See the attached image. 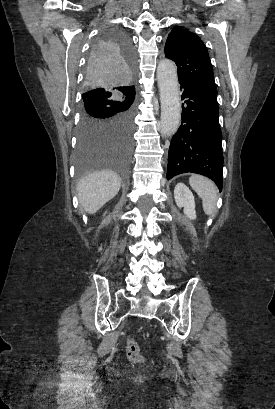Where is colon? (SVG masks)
Segmentation results:
<instances>
[{"label":"colon","instance_id":"5ec220e1","mask_svg":"<svg viewBox=\"0 0 275 409\" xmlns=\"http://www.w3.org/2000/svg\"><path fill=\"white\" fill-rule=\"evenodd\" d=\"M127 358L134 363H141L144 356L141 353L140 347L133 339H128L125 346Z\"/></svg>","mask_w":275,"mask_h":409}]
</instances>
